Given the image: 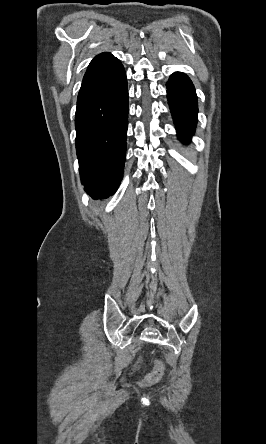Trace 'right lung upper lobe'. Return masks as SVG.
<instances>
[{"instance_id":"right-lung-upper-lobe-1","label":"right lung upper lobe","mask_w":266,"mask_h":444,"mask_svg":"<svg viewBox=\"0 0 266 444\" xmlns=\"http://www.w3.org/2000/svg\"><path fill=\"white\" fill-rule=\"evenodd\" d=\"M113 55L110 53H101L97 55L89 64L86 73L84 75V79L88 78L89 76L93 75L95 72L100 70L102 67H104L107 63H109L113 59Z\"/></svg>"}]
</instances>
